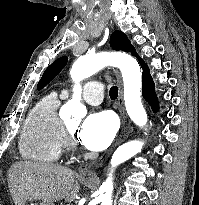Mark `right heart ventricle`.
<instances>
[{"label": "right heart ventricle", "instance_id": "right-heart-ventricle-1", "mask_svg": "<svg viewBox=\"0 0 199 205\" xmlns=\"http://www.w3.org/2000/svg\"><path fill=\"white\" fill-rule=\"evenodd\" d=\"M60 101L55 93L43 97L28 114L19 142L24 159L51 164L63 148V123L58 116Z\"/></svg>", "mask_w": 199, "mask_h": 205}]
</instances>
